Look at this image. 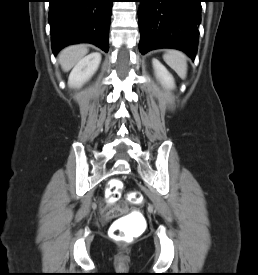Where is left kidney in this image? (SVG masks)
I'll list each match as a JSON object with an SVG mask.
<instances>
[{
	"mask_svg": "<svg viewBox=\"0 0 258 275\" xmlns=\"http://www.w3.org/2000/svg\"><path fill=\"white\" fill-rule=\"evenodd\" d=\"M153 68L155 70L156 77L159 81L169 89H173L175 87L174 79L172 75L168 72L166 67L160 63L157 59H153Z\"/></svg>",
	"mask_w": 258,
	"mask_h": 275,
	"instance_id": "5707ae66",
	"label": "left kidney"
}]
</instances>
